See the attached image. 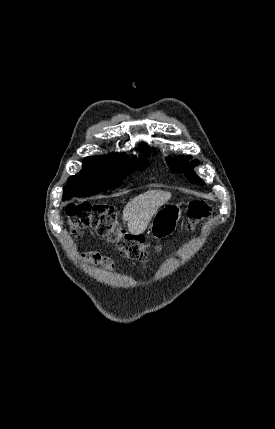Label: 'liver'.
I'll list each match as a JSON object with an SVG mask.
<instances>
[{"label": "liver", "mask_w": 275, "mask_h": 429, "mask_svg": "<svg viewBox=\"0 0 275 429\" xmlns=\"http://www.w3.org/2000/svg\"><path fill=\"white\" fill-rule=\"evenodd\" d=\"M171 198V193L150 190L133 198L125 206L123 219L128 221V230L133 235L143 233L159 207Z\"/></svg>", "instance_id": "obj_1"}]
</instances>
